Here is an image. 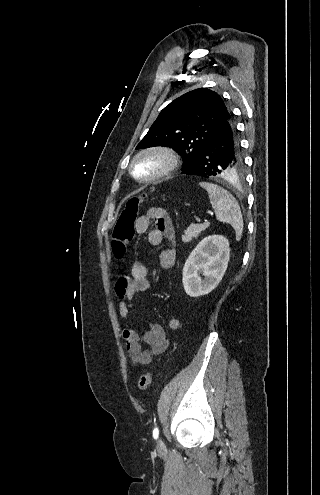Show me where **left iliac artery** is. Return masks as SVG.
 <instances>
[{
  "instance_id": "1",
  "label": "left iliac artery",
  "mask_w": 320,
  "mask_h": 495,
  "mask_svg": "<svg viewBox=\"0 0 320 495\" xmlns=\"http://www.w3.org/2000/svg\"><path fill=\"white\" fill-rule=\"evenodd\" d=\"M158 435H159V429L156 427L153 430V438L154 439H157L158 438Z\"/></svg>"
}]
</instances>
